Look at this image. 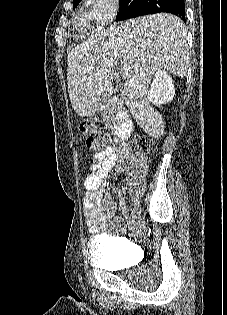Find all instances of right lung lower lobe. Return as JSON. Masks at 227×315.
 Segmentation results:
<instances>
[{
    "label": "right lung lower lobe",
    "mask_w": 227,
    "mask_h": 315,
    "mask_svg": "<svg viewBox=\"0 0 227 315\" xmlns=\"http://www.w3.org/2000/svg\"><path fill=\"white\" fill-rule=\"evenodd\" d=\"M162 12L174 14L186 22L185 0H132L120 5L116 19L125 20Z\"/></svg>",
    "instance_id": "obj_1"
}]
</instances>
